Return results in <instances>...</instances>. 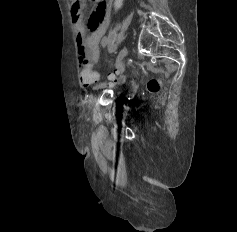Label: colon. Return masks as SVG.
<instances>
[{
    "label": "colon",
    "mask_w": 237,
    "mask_h": 232,
    "mask_svg": "<svg viewBox=\"0 0 237 232\" xmlns=\"http://www.w3.org/2000/svg\"><path fill=\"white\" fill-rule=\"evenodd\" d=\"M123 4V0H114L113 9L117 11L121 8ZM98 74L92 69V67L87 63L84 62L82 64V69L80 72V83L83 86H88L92 83H95L98 80ZM121 80V77L118 74H113L110 76L109 81L111 84H115ZM148 89L151 92H157L160 89V82L154 78L148 81Z\"/></svg>",
    "instance_id": "colon-1"
}]
</instances>
